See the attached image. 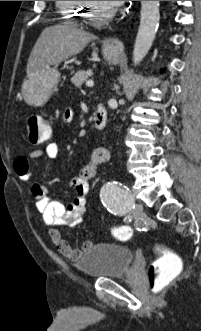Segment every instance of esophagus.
<instances>
[{
  "instance_id": "esophagus-1",
  "label": "esophagus",
  "mask_w": 201,
  "mask_h": 331,
  "mask_svg": "<svg viewBox=\"0 0 201 331\" xmlns=\"http://www.w3.org/2000/svg\"><path fill=\"white\" fill-rule=\"evenodd\" d=\"M104 46L108 51L113 53H122L124 51V45L117 37L107 38L104 42Z\"/></svg>"
}]
</instances>
